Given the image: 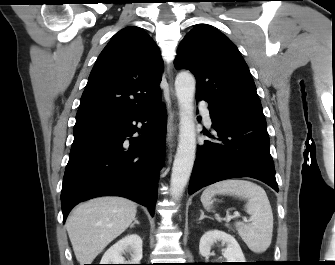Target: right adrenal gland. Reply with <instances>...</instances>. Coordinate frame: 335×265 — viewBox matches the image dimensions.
Listing matches in <instances>:
<instances>
[{"instance_id": "1", "label": "right adrenal gland", "mask_w": 335, "mask_h": 265, "mask_svg": "<svg viewBox=\"0 0 335 265\" xmlns=\"http://www.w3.org/2000/svg\"><path fill=\"white\" fill-rule=\"evenodd\" d=\"M135 224H137V225L140 224L139 221L137 220V218L134 219V222L131 224L130 228H133Z\"/></svg>"}]
</instances>
